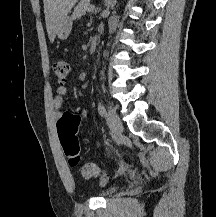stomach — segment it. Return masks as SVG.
<instances>
[{"mask_svg": "<svg viewBox=\"0 0 216 217\" xmlns=\"http://www.w3.org/2000/svg\"><path fill=\"white\" fill-rule=\"evenodd\" d=\"M71 30H72V19L67 16L62 22L58 31L56 32V36L61 40H65L70 35Z\"/></svg>", "mask_w": 216, "mask_h": 217, "instance_id": "stomach-1", "label": "stomach"}]
</instances>
